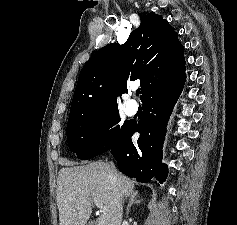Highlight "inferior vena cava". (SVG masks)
I'll return each instance as SVG.
<instances>
[{"mask_svg": "<svg viewBox=\"0 0 237 225\" xmlns=\"http://www.w3.org/2000/svg\"><path fill=\"white\" fill-rule=\"evenodd\" d=\"M110 166H111V169H112L113 171H116L113 162L110 163Z\"/></svg>", "mask_w": 237, "mask_h": 225, "instance_id": "obj_1", "label": "inferior vena cava"}]
</instances>
